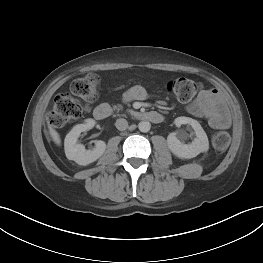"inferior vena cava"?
<instances>
[{"instance_id": "1", "label": "inferior vena cava", "mask_w": 263, "mask_h": 263, "mask_svg": "<svg viewBox=\"0 0 263 263\" xmlns=\"http://www.w3.org/2000/svg\"><path fill=\"white\" fill-rule=\"evenodd\" d=\"M115 126L118 130L124 131L128 128V122L126 119L120 118L116 120Z\"/></svg>"}]
</instances>
